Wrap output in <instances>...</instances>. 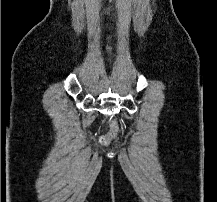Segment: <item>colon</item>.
Returning a JSON list of instances; mask_svg holds the SVG:
<instances>
[{
	"instance_id": "5ec220e1",
	"label": "colon",
	"mask_w": 217,
	"mask_h": 202,
	"mask_svg": "<svg viewBox=\"0 0 217 202\" xmlns=\"http://www.w3.org/2000/svg\"><path fill=\"white\" fill-rule=\"evenodd\" d=\"M110 128L112 129V133H108V137H98V142H109V138H115V134H119L118 124L115 122V120H110Z\"/></svg>"
}]
</instances>
